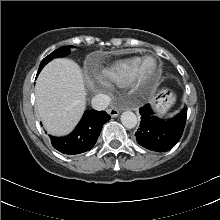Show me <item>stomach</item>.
Returning a JSON list of instances; mask_svg holds the SVG:
<instances>
[{
  "label": "stomach",
  "mask_w": 220,
  "mask_h": 220,
  "mask_svg": "<svg viewBox=\"0 0 220 220\" xmlns=\"http://www.w3.org/2000/svg\"><path fill=\"white\" fill-rule=\"evenodd\" d=\"M175 99L172 94L161 96L157 99L155 109L158 115H164L173 105Z\"/></svg>",
  "instance_id": "obj_1"
}]
</instances>
